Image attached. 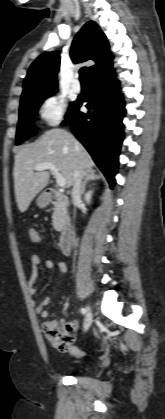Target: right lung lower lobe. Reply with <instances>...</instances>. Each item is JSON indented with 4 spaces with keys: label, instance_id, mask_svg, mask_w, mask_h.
<instances>
[{
    "label": "right lung lower lobe",
    "instance_id": "right-lung-lower-lobe-1",
    "mask_svg": "<svg viewBox=\"0 0 165 419\" xmlns=\"http://www.w3.org/2000/svg\"><path fill=\"white\" fill-rule=\"evenodd\" d=\"M111 68L89 79V91L79 97L62 125H70L76 138L91 154L97 166L114 186L118 156L123 140L122 118L125 114L122 95L116 93L119 81ZM87 102V113L79 111Z\"/></svg>",
    "mask_w": 165,
    "mask_h": 419
}]
</instances>
